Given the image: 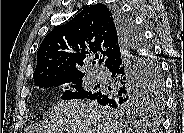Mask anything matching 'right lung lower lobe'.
<instances>
[{"instance_id":"right-lung-lower-lobe-1","label":"right lung lower lobe","mask_w":184,"mask_h":133,"mask_svg":"<svg viewBox=\"0 0 184 133\" xmlns=\"http://www.w3.org/2000/svg\"><path fill=\"white\" fill-rule=\"evenodd\" d=\"M113 13L122 38V48L106 67L112 73L117 88L113 91L98 90L85 97L104 106H109L118 97L138 92L148 63L143 41L137 38L133 29L134 23L118 9H114Z\"/></svg>"}]
</instances>
